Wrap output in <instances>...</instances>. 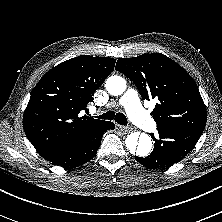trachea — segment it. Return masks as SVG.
I'll return each instance as SVG.
<instances>
[{
    "instance_id": "1",
    "label": "trachea",
    "mask_w": 222,
    "mask_h": 222,
    "mask_svg": "<svg viewBox=\"0 0 222 222\" xmlns=\"http://www.w3.org/2000/svg\"><path fill=\"white\" fill-rule=\"evenodd\" d=\"M97 118L104 120H115L120 125H126L128 123L127 118L122 113H116L114 111H108Z\"/></svg>"
}]
</instances>
